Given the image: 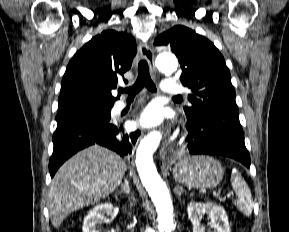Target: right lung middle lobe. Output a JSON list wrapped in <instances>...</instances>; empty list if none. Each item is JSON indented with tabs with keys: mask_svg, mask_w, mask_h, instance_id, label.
Masks as SVG:
<instances>
[{
	"mask_svg": "<svg viewBox=\"0 0 289 232\" xmlns=\"http://www.w3.org/2000/svg\"><path fill=\"white\" fill-rule=\"evenodd\" d=\"M112 107L85 106L70 109H62L56 116V121L68 122L78 120L110 121Z\"/></svg>",
	"mask_w": 289,
	"mask_h": 232,
	"instance_id": "dd1d6c3e",
	"label": "right lung middle lobe"
}]
</instances>
